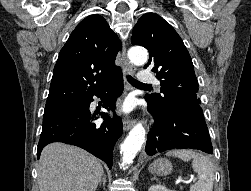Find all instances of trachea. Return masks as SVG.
Returning a JSON list of instances; mask_svg holds the SVG:
<instances>
[{"mask_svg":"<svg viewBox=\"0 0 251 191\" xmlns=\"http://www.w3.org/2000/svg\"><path fill=\"white\" fill-rule=\"evenodd\" d=\"M127 81L130 83V85L132 86H143V87H149V88H152L151 85H147V83H141V81H138V80H135V78H133L132 76L130 75H127Z\"/></svg>","mask_w":251,"mask_h":191,"instance_id":"obj_1","label":"trachea"}]
</instances>
